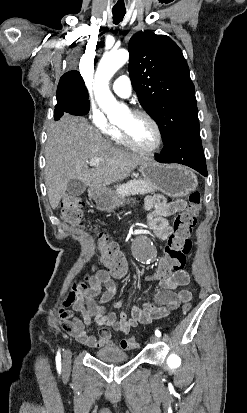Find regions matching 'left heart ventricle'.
<instances>
[{
    "instance_id": "left-heart-ventricle-1",
    "label": "left heart ventricle",
    "mask_w": 247,
    "mask_h": 413,
    "mask_svg": "<svg viewBox=\"0 0 247 413\" xmlns=\"http://www.w3.org/2000/svg\"><path fill=\"white\" fill-rule=\"evenodd\" d=\"M125 125L131 126V128H127V131L139 144L145 147H151L156 144L158 140L157 131L145 118H132L128 115L125 119Z\"/></svg>"
}]
</instances>
